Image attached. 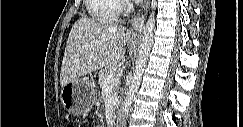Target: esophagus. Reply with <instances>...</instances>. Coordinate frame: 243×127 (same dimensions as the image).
<instances>
[{
  "label": "esophagus",
  "mask_w": 243,
  "mask_h": 127,
  "mask_svg": "<svg viewBox=\"0 0 243 127\" xmlns=\"http://www.w3.org/2000/svg\"><path fill=\"white\" fill-rule=\"evenodd\" d=\"M149 5H150V0H144L137 15L132 20V25H131V29H130L131 33L139 31L141 25L143 24V22L145 20V16L148 12Z\"/></svg>",
  "instance_id": "34e87169"
}]
</instances>
